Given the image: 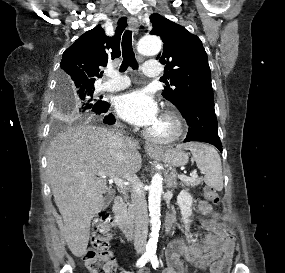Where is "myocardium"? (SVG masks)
<instances>
[{
  "label": "myocardium",
  "instance_id": "obj_1",
  "mask_svg": "<svg viewBox=\"0 0 285 273\" xmlns=\"http://www.w3.org/2000/svg\"><path fill=\"white\" fill-rule=\"evenodd\" d=\"M160 119L170 124L171 131L167 135L159 136L151 130H148L145 135L150 141L157 144H169L182 137L185 132L186 125L182 116L176 110L169 109L165 111L161 115Z\"/></svg>",
  "mask_w": 285,
  "mask_h": 273
}]
</instances>
